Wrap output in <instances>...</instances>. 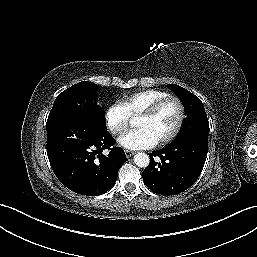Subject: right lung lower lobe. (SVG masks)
<instances>
[{"label": "right lung lower lobe", "mask_w": 257, "mask_h": 257, "mask_svg": "<svg viewBox=\"0 0 257 257\" xmlns=\"http://www.w3.org/2000/svg\"><path fill=\"white\" fill-rule=\"evenodd\" d=\"M47 155L60 182L71 191L88 196L107 192L126 162L114 138L78 116L47 120ZM109 150L108 155L103 151Z\"/></svg>", "instance_id": "1"}]
</instances>
